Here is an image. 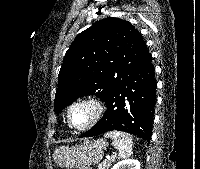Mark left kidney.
I'll list each match as a JSON object with an SVG mask.
<instances>
[{
	"mask_svg": "<svg viewBox=\"0 0 200 169\" xmlns=\"http://www.w3.org/2000/svg\"><path fill=\"white\" fill-rule=\"evenodd\" d=\"M111 169H140V162L134 159H126L117 162Z\"/></svg>",
	"mask_w": 200,
	"mask_h": 169,
	"instance_id": "obj_1",
	"label": "left kidney"
}]
</instances>
